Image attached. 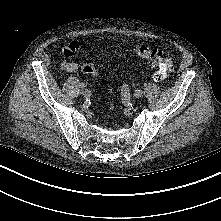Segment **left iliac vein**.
I'll use <instances>...</instances> for the list:
<instances>
[{
  "mask_svg": "<svg viewBox=\"0 0 221 221\" xmlns=\"http://www.w3.org/2000/svg\"><path fill=\"white\" fill-rule=\"evenodd\" d=\"M142 94H143V91L141 89H137L134 92V97L140 98L142 96Z\"/></svg>",
  "mask_w": 221,
  "mask_h": 221,
  "instance_id": "obj_1",
  "label": "left iliac vein"
}]
</instances>
